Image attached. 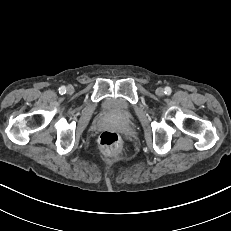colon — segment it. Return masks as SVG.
<instances>
[{
    "label": "colon",
    "instance_id": "obj_1",
    "mask_svg": "<svg viewBox=\"0 0 231 231\" xmlns=\"http://www.w3.org/2000/svg\"><path fill=\"white\" fill-rule=\"evenodd\" d=\"M121 144L120 136L114 131H104L99 137V145L102 150L107 152H115Z\"/></svg>",
    "mask_w": 231,
    "mask_h": 231
}]
</instances>
